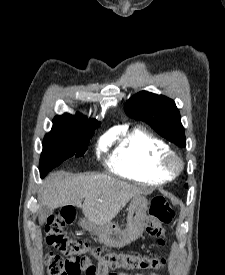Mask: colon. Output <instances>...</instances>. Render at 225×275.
Wrapping results in <instances>:
<instances>
[{
	"label": "colon",
	"mask_w": 225,
	"mask_h": 275,
	"mask_svg": "<svg viewBox=\"0 0 225 275\" xmlns=\"http://www.w3.org/2000/svg\"><path fill=\"white\" fill-rule=\"evenodd\" d=\"M75 217L72 208L66 207L49 217L46 225V241L55 249L68 255L81 256L90 253L96 260L110 269L124 270H159L166 266V259L160 257H142L131 253L106 252L99 248H91L82 240L71 238L66 232V226ZM175 217L173 207L162 197L151 201L149 216L146 221V232L158 238V244H166L165 225ZM48 275H90L95 268L92 262L85 257L69 260L60 254L49 253L46 256ZM115 275V273H112Z\"/></svg>",
	"instance_id": "5ec220e1"
}]
</instances>
